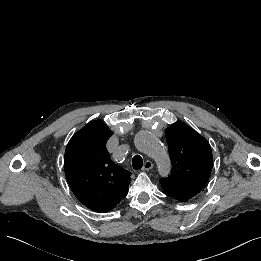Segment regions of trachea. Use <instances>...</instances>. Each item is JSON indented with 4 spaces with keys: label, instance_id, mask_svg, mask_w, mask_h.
<instances>
[{
    "label": "trachea",
    "instance_id": "1",
    "mask_svg": "<svg viewBox=\"0 0 261 261\" xmlns=\"http://www.w3.org/2000/svg\"><path fill=\"white\" fill-rule=\"evenodd\" d=\"M133 169L139 170L143 167V159L140 155H135L132 159Z\"/></svg>",
    "mask_w": 261,
    "mask_h": 261
}]
</instances>
